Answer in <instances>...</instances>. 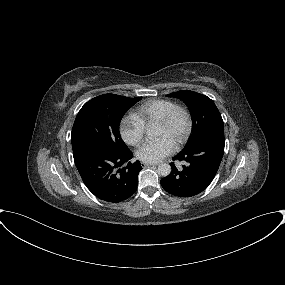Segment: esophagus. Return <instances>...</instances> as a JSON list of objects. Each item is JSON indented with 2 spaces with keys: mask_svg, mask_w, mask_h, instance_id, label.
Listing matches in <instances>:
<instances>
[{
  "mask_svg": "<svg viewBox=\"0 0 285 285\" xmlns=\"http://www.w3.org/2000/svg\"><path fill=\"white\" fill-rule=\"evenodd\" d=\"M154 164L152 163H145V162H142V167L146 168V167H149V166H153Z\"/></svg>",
  "mask_w": 285,
  "mask_h": 285,
  "instance_id": "1",
  "label": "esophagus"
}]
</instances>
